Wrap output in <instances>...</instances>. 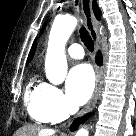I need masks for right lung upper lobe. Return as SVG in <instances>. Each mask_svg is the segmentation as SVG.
Instances as JSON below:
<instances>
[{
  "label": "right lung upper lobe",
  "mask_w": 136,
  "mask_h": 136,
  "mask_svg": "<svg viewBox=\"0 0 136 136\" xmlns=\"http://www.w3.org/2000/svg\"><path fill=\"white\" fill-rule=\"evenodd\" d=\"M93 9H94V13H95L96 18L99 20L100 19V13H99V10L97 8L95 1H93ZM35 48H36V41L34 42L32 48H31V51H30L28 59H27V63H29L31 61V59L33 58Z\"/></svg>",
  "instance_id": "right-lung-upper-lobe-1"
}]
</instances>
